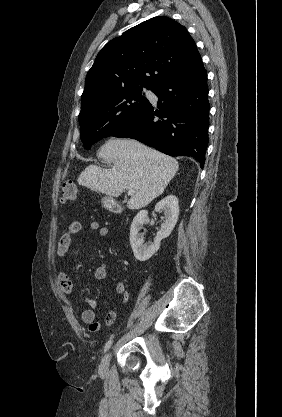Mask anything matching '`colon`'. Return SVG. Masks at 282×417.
<instances>
[{
  "label": "colon",
  "mask_w": 282,
  "mask_h": 417,
  "mask_svg": "<svg viewBox=\"0 0 282 417\" xmlns=\"http://www.w3.org/2000/svg\"><path fill=\"white\" fill-rule=\"evenodd\" d=\"M79 193V186L75 182H66L62 185L59 193L61 201H73Z\"/></svg>",
  "instance_id": "5ec220e1"
}]
</instances>
